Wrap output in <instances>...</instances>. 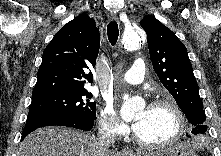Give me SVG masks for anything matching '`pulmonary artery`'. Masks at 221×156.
<instances>
[{
  "label": "pulmonary artery",
  "instance_id": "obj_1",
  "mask_svg": "<svg viewBox=\"0 0 221 156\" xmlns=\"http://www.w3.org/2000/svg\"><path fill=\"white\" fill-rule=\"evenodd\" d=\"M145 76V64L142 59H137L132 67L122 76V80L129 84H140Z\"/></svg>",
  "mask_w": 221,
  "mask_h": 156
}]
</instances>
